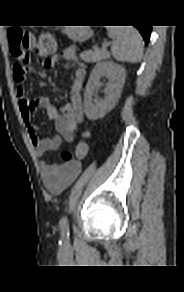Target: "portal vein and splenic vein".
Instances as JSON below:
<instances>
[{
	"label": "portal vein and splenic vein",
	"instance_id": "obj_1",
	"mask_svg": "<svg viewBox=\"0 0 184 292\" xmlns=\"http://www.w3.org/2000/svg\"><path fill=\"white\" fill-rule=\"evenodd\" d=\"M102 49H103V50H106V47H103Z\"/></svg>",
	"mask_w": 184,
	"mask_h": 292
}]
</instances>
